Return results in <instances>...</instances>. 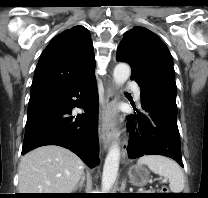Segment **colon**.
<instances>
[{"label": "colon", "mask_w": 208, "mask_h": 198, "mask_svg": "<svg viewBox=\"0 0 208 198\" xmlns=\"http://www.w3.org/2000/svg\"><path fill=\"white\" fill-rule=\"evenodd\" d=\"M161 190L165 192V191H167L168 189H167V188H162Z\"/></svg>", "instance_id": "colon-1"}]
</instances>
